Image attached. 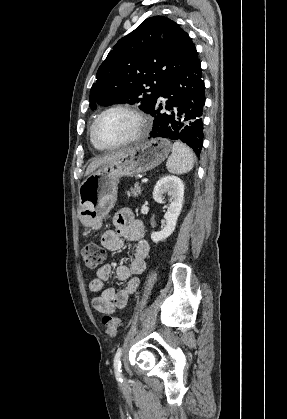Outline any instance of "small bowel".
<instances>
[{
    "instance_id": "obj_1",
    "label": "small bowel",
    "mask_w": 287,
    "mask_h": 419,
    "mask_svg": "<svg viewBox=\"0 0 287 419\" xmlns=\"http://www.w3.org/2000/svg\"><path fill=\"white\" fill-rule=\"evenodd\" d=\"M115 228L106 230L102 237V245L111 250L117 251L123 247V239L135 243L128 266L120 265L116 268L115 274L118 280L126 281V286L121 290L112 287L105 288L104 283L112 275V267L107 264L97 270L96 277L90 281V290L100 292V295L93 299L94 308L100 312L109 314L116 308H124L128 300L139 287V275L146 268V258L149 254V245L144 240V228L141 221L137 220L133 213L126 208L116 211L113 217Z\"/></svg>"
}]
</instances>
